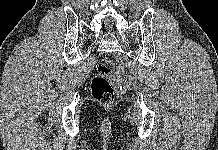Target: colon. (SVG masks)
<instances>
[{
    "label": "colon",
    "instance_id": "5ec220e1",
    "mask_svg": "<svg viewBox=\"0 0 218 150\" xmlns=\"http://www.w3.org/2000/svg\"><path fill=\"white\" fill-rule=\"evenodd\" d=\"M114 71V63L110 58H102L97 64L96 75L91 81L92 97L101 104H110L114 100V91L109 77Z\"/></svg>",
    "mask_w": 218,
    "mask_h": 150
}]
</instances>
